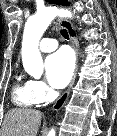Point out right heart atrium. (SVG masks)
Returning a JSON list of instances; mask_svg holds the SVG:
<instances>
[{"mask_svg": "<svg viewBox=\"0 0 117 136\" xmlns=\"http://www.w3.org/2000/svg\"><path fill=\"white\" fill-rule=\"evenodd\" d=\"M31 87L38 103H45L52 96L51 89L43 81L33 80Z\"/></svg>", "mask_w": 117, "mask_h": 136, "instance_id": "right-heart-atrium-1", "label": "right heart atrium"}]
</instances>
